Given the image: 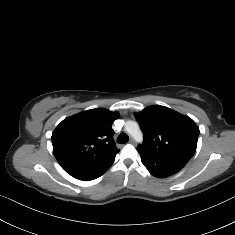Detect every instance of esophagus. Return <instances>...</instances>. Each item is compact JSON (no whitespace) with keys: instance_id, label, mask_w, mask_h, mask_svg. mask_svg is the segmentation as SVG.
<instances>
[{"instance_id":"esophagus-1","label":"esophagus","mask_w":235,"mask_h":235,"mask_svg":"<svg viewBox=\"0 0 235 235\" xmlns=\"http://www.w3.org/2000/svg\"><path fill=\"white\" fill-rule=\"evenodd\" d=\"M129 143L134 144V143H135V140H134L132 137H130Z\"/></svg>"}]
</instances>
